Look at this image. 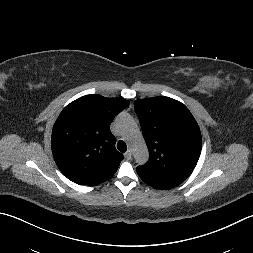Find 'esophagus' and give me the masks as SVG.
<instances>
[{
  "label": "esophagus",
  "instance_id": "obj_1",
  "mask_svg": "<svg viewBox=\"0 0 253 253\" xmlns=\"http://www.w3.org/2000/svg\"><path fill=\"white\" fill-rule=\"evenodd\" d=\"M124 157H125L127 160H130V159H131V157H132V153H131V151H130V150H128L127 152H125Z\"/></svg>",
  "mask_w": 253,
  "mask_h": 253
}]
</instances>
